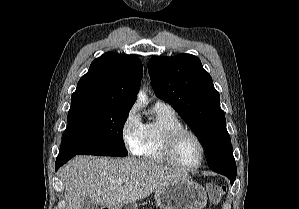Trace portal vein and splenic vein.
<instances>
[{"mask_svg":"<svg viewBox=\"0 0 299 209\" xmlns=\"http://www.w3.org/2000/svg\"><path fill=\"white\" fill-rule=\"evenodd\" d=\"M117 183H118V184H123L124 181H122V180H118Z\"/></svg>","mask_w":299,"mask_h":209,"instance_id":"1","label":"portal vein and splenic vein"}]
</instances>
